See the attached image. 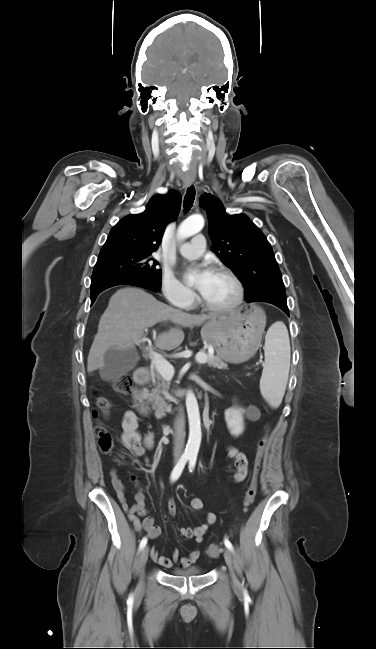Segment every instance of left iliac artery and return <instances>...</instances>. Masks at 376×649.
<instances>
[{
	"mask_svg": "<svg viewBox=\"0 0 376 649\" xmlns=\"http://www.w3.org/2000/svg\"><path fill=\"white\" fill-rule=\"evenodd\" d=\"M196 459H197L196 455H192L189 458V470H190V472H192L194 470V467H195V464H196ZM224 544L229 550L233 551V546H232L231 542L227 538L224 539Z\"/></svg>",
	"mask_w": 376,
	"mask_h": 649,
	"instance_id": "44dca946",
	"label": "left iliac artery"
}]
</instances>
